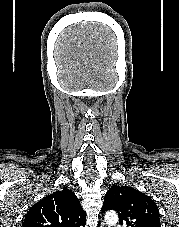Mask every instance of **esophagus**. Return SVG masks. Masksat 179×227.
<instances>
[{"instance_id": "esophagus-1", "label": "esophagus", "mask_w": 179, "mask_h": 227, "mask_svg": "<svg viewBox=\"0 0 179 227\" xmlns=\"http://www.w3.org/2000/svg\"><path fill=\"white\" fill-rule=\"evenodd\" d=\"M100 227H105V224L103 222H101Z\"/></svg>"}]
</instances>
